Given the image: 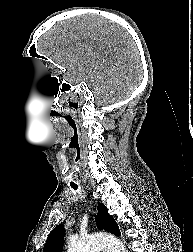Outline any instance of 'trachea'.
<instances>
[{
	"instance_id": "obj_1",
	"label": "trachea",
	"mask_w": 193,
	"mask_h": 252,
	"mask_svg": "<svg viewBox=\"0 0 193 252\" xmlns=\"http://www.w3.org/2000/svg\"><path fill=\"white\" fill-rule=\"evenodd\" d=\"M71 187L74 189V190H77L78 186L76 184H71Z\"/></svg>"
}]
</instances>
